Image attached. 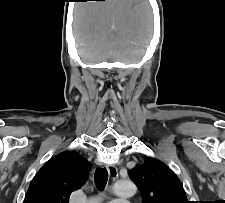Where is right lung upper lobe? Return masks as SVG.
<instances>
[{
    "mask_svg": "<svg viewBox=\"0 0 225 203\" xmlns=\"http://www.w3.org/2000/svg\"><path fill=\"white\" fill-rule=\"evenodd\" d=\"M90 163L76 152H63L38 171L24 203H69L70 194L87 180Z\"/></svg>",
    "mask_w": 225,
    "mask_h": 203,
    "instance_id": "obj_1",
    "label": "right lung upper lobe"
}]
</instances>
